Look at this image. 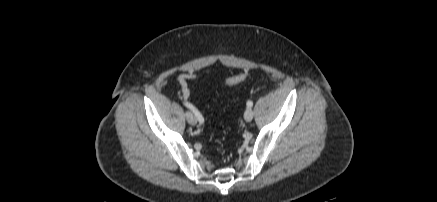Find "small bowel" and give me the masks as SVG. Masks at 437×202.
<instances>
[{
	"instance_id": "1",
	"label": "small bowel",
	"mask_w": 437,
	"mask_h": 202,
	"mask_svg": "<svg viewBox=\"0 0 437 202\" xmlns=\"http://www.w3.org/2000/svg\"><path fill=\"white\" fill-rule=\"evenodd\" d=\"M191 79H197V75L195 73L188 72V73L180 74L178 77V83H179V86L181 88V96L183 99H188L190 96V89L188 86V80H191Z\"/></svg>"
}]
</instances>
